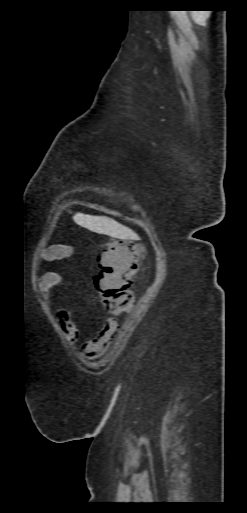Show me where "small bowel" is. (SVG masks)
<instances>
[{"mask_svg": "<svg viewBox=\"0 0 247 513\" xmlns=\"http://www.w3.org/2000/svg\"><path fill=\"white\" fill-rule=\"evenodd\" d=\"M67 251L66 247H51L46 253H44L41 259L43 262L60 260L65 258ZM61 285L62 278L59 273L51 271L41 274L38 289L46 306H51L50 295L52 289L60 287ZM60 322L66 339L68 341H75L78 338L79 330L73 322L68 309H62L60 311ZM118 328L119 324L117 320L113 318L108 319L104 323L99 335L84 345L86 356L94 357L104 353L115 339Z\"/></svg>", "mask_w": 247, "mask_h": 513, "instance_id": "obj_1", "label": "small bowel"}]
</instances>
